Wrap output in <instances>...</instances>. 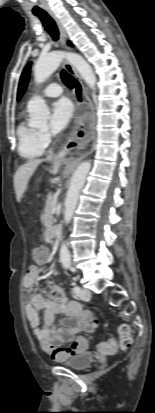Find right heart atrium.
Wrapping results in <instances>:
<instances>
[{"mask_svg": "<svg viewBox=\"0 0 155 413\" xmlns=\"http://www.w3.org/2000/svg\"><path fill=\"white\" fill-rule=\"evenodd\" d=\"M39 139L41 144L44 147H47L48 145H50L51 141H52V134L49 131H39Z\"/></svg>", "mask_w": 155, "mask_h": 413, "instance_id": "right-heart-atrium-1", "label": "right heart atrium"}]
</instances>
